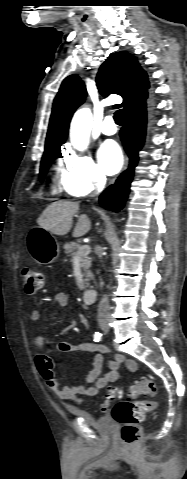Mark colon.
Wrapping results in <instances>:
<instances>
[{
    "mask_svg": "<svg viewBox=\"0 0 187 479\" xmlns=\"http://www.w3.org/2000/svg\"><path fill=\"white\" fill-rule=\"evenodd\" d=\"M21 276L22 287L26 294H33L43 287L44 276L36 268L24 266L21 269ZM140 394L155 396L157 394L156 383L152 379L145 378L132 386L128 393L118 387L111 386L105 394L104 405L117 400L112 410V417L121 425V439L127 446H133L137 443L141 437V423L145 414L156 407V403L153 401L134 400Z\"/></svg>",
    "mask_w": 187,
    "mask_h": 479,
    "instance_id": "1",
    "label": "colon"
}]
</instances>
